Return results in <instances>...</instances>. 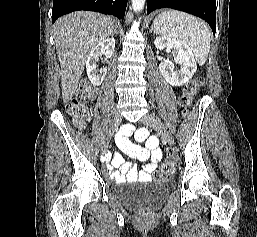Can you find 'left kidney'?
I'll return each mask as SVG.
<instances>
[{"instance_id":"5707ae66","label":"left kidney","mask_w":257,"mask_h":237,"mask_svg":"<svg viewBox=\"0 0 257 237\" xmlns=\"http://www.w3.org/2000/svg\"><path fill=\"white\" fill-rule=\"evenodd\" d=\"M154 44L159 50L172 51L175 62L180 65V70H176L170 61L159 64V71L166 82L172 86H181L188 82L197 69L191 49L179 40L166 37H157Z\"/></svg>"}]
</instances>
